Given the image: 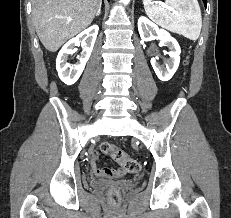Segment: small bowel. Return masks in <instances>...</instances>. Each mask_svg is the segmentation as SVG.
I'll list each match as a JSON object with an SVG mask.
<instances>
[{
    "label": "small bowel",
    "mask_w": 231,
    "mask_h": 218,
    "mask_svg": "<svg viewBox=\"0 0 231 218\" xmlns=\"http://www.w3.org/2000/svg\"><path fill=\"white\" fill-rule=\"evenodd\" d=\"M98 162L99 153L95 151L91 156V168L96 176L113 178L120 177L125 173V170L122 168H102Z\"/></svg>",
    "instance_id": "obj_1"
}]
</instances>
